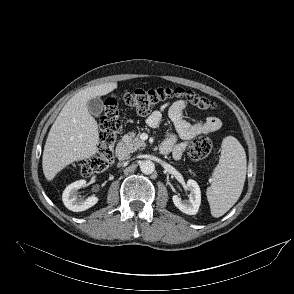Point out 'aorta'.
<instances>
[{
  "label": "aorta",
  "mask_w": 294,
  "mask_h": 294,
  "mask_svg": "<svg viewBox=\"0 0 294 294\" xmlns=\"http://www.w3.org/2000/svg\"><path fill=\"white\" fill-rule=\"evenodd\" d=\"M140 169L142 173L149 175L154 172L155 164L151 160H145L141 162Z\"/></svg>",
  "instance_id": "762f6f07"
}]
</instances>
